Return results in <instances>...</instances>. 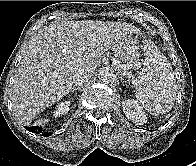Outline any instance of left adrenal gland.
Wrapping results in <instances>:
<instances>
[{
	"mask_svg": "<svg viewBox=\"0 0 196 166\" xmlns=\"http://www.w3.org/2000/svg\"><path fill=\"white\" fill-rule=\"evenodd\" d=\"M120 80H121V81H124L126 85H128V83H129V80H125V79H124V76H122V75H121V77H120Z\"/></svg>",
	"mask_w": 196,
	"mask_h": 166,
	"instance_id": "a2214340",
	"label": "left adrenal gland"
}]
</instances>
